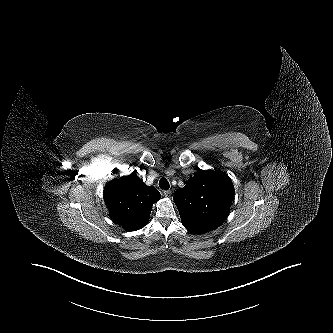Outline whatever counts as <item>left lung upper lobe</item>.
I'll list each match as a JSON object with an SVG mask.
<instances>
[{"label":"left lung upper lobe","instance_id":"obj_1","mask_svg":"<svg viewBox=\"0 0 333 333\" xmlns=\"http://www.w3.org/2000/svg\"><path fill=\"white\" fill-rule=\"evenodd\" d=\"M234 193L227 174L198 169L186 186L175 192L173 200L182 224L194 233L203 234L225 221Z\"/></svg>","mask_w":333,"mask_h":333}]
</instances>
